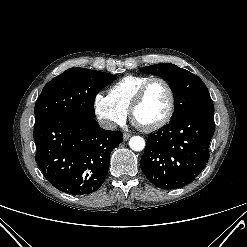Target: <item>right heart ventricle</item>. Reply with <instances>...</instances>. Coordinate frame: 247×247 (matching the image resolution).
Listing matches in <instances>:
<instances>
[{"label": "right heart ventricle", "mask_w": 247, "mask_h": 247, "mask_svg": "<svg viewBox=\"0 0 247 247\" xmlns=\"http://www.w3.org/2000/svg\"><path fill=\"white\" fill-rule=\"evenodd\" d=\"M146 75H127L112 85L109 96L122 108L128 110L139 88L148 80Z\"/></svg>", "instance_id": "obj_1"}]
</instances>
